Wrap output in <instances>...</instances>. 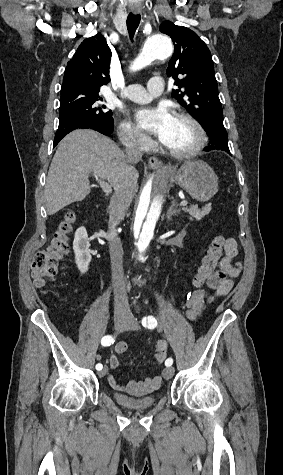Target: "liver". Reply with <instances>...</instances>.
I'll use <instances>...</instances> for the list:
<instances>
[{
  "label": "liver",
  "instance_id": "6515ba94",
  "mask_svg": "<svg viewBox=\"0 0 283 475\" xmlns=\"http://www.w3.org/2000/svg\"><path fill=\"white\" fill-rule=\"evenodd\" d=\"M128 166L113 140L94 130H74L60 142L50 164L44 192L48 216L90 194L89 174L108 180L113 188L129 184L135 196L139 174H126Z\"/></svg>",
  "mask_w": 283,
  "mask_h": 475
}]
</instances>
